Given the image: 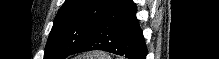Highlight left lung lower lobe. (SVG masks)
Listing matches in <instances>:
<instances>
[{
    "instance_id": "1",
    "label": "left lung lower lobe",
    "mask_w": 219,
    "mask_h": 59,
    "mask_svg": "<svg viewBox=\"0 0 219 59\" xmlns=\"http://www.w3.org/2000/svg\"><path fill=\"white\" fill-rule=\"evenodd\" d=\"M132 0H112L94 31L71 53L103 50L127 59H146L147 47Z\"/></svg>"
}]
</instances>
